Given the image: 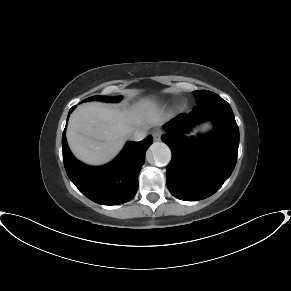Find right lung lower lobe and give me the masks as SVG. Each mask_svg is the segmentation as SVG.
Instances as JSON below:
<instances>
[{
  "label": "right lung lower lobe",
  "mask_w": 291,
  "mask_h": 291,
  "mask_svg": "<svg viewBox=\"0 0 291 291\" xmlns=\"http://www.w3.org/2000/svg\"><path fill=\"white\" fill-rule=\"evenodd\" d=\"M75 107L70 109L69 114ZM152 142L151 136L140 142L130 141L112 162L101 167H91L72 155L64 130L62 148L65 170L69 179L90 200L102 205L122 204L131 200L137 192L138 174L144 164L146 150Z\"/></svg>",
  "instance_id": "right-lung-lower-lobe-1"
}]
</instances>
